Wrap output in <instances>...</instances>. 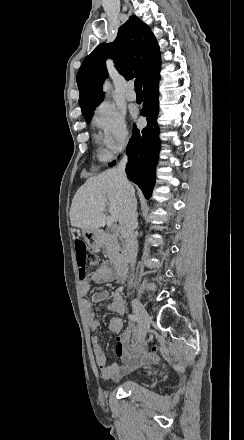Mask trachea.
I'll return each instance as SVG.
<instances>
[{"label": "trachea", "instance_id": "3493384b", "mask_svg": "<svg viewBox=\"0 0 244 440\" xmlns=\"http://www.w3.org/2000/svg\"><path fill=\"white\" fill-rule=\"evenodd\" d=\"M135 91L142 92V80L140 78L135 79Z\"/></svg>", "mask_w": 244, "mask_h": 440}]
</instances>
